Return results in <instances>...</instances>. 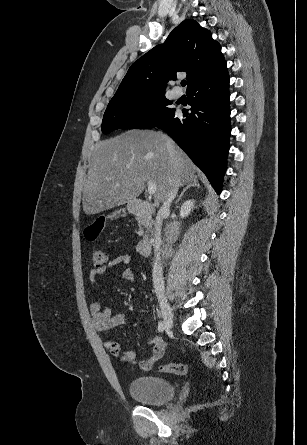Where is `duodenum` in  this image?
<instances>
[{"mask_svg": "<svg viewBox=\"0 0 307 445\" xmlns=\"http://www.w3.org/2000/svg\"><path fill=\"white\" fill-rule=\"evenodd\" d=\"M130 212L141 218L147 225L149 231L143 236L137 245V251L143 256H148L152 249V236H151V217L154 213L153 206L142 199H135L129 205Z\"/></svg>", "mask_w": 307, "mask_h": 445, "instance_id": "duodenum-1", "label": "duodenum"}]
</instances>
